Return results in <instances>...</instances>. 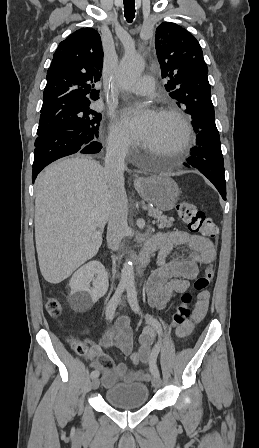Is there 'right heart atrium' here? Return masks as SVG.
<instances>
[{"label": "right heart atrium", "mask_w": 259, "mask_h": 448, "mask_svg": "<svg viewBox=\"0 0 259 448\" xmlns=\"http://www.w3.org/2000/svg\"><path fill=\"white\" fill-rule=\"evenodd\" d=\"M107 147L126 156L134 147V141L118 124L112 123L107 136Z\"/></svg>", "instance_id": "d8ad5b80"}]
</instances>
